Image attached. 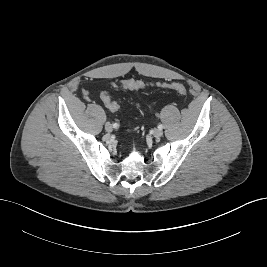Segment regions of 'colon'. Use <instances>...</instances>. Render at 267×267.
Returning <instances> with one entry per match:
<instances>
[{"label":"colon","mask_w":267,"mask_h":267,"mask_svg":"<svg viewBox=\"0 0 267 267\" xmlns=\"http://www.w3.org/2000/svg\"><path fill=\"white\" fill-rule=\"evenodd\" d=\"M113 86L114 87L120 86L130 90H141L146 88L148 85L137 80H122L117 83H113ZM157 86L161 88L174 90L181 95H185L187 93L186 87L180 83H163V84H158ZM101 100L111 111H117L120 108V105L117 102L113 101L106 92L101 93Z\"/></svg>","instance_id":"1"}]
</instances>
